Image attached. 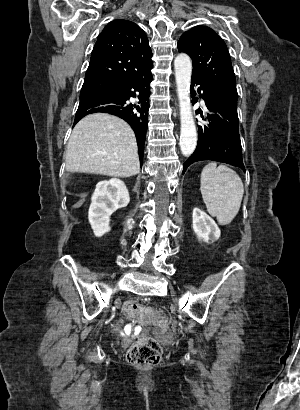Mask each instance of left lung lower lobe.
I'll use <instances>...</instances> for the list:
<instances>
[{"instance_id":"0a47b994","label":"left lung lower lobe","mask_w":300,"mask_h":410,"mask_svg":"<svg viewBox=\"0 0 300 410\" xmlns=\"http://www.w3.org/2000/svg\"><path fill=\"white\" fill-rule=\"evenodd\" d=\"M191 83L192 93L194 86L200 85L198 92L202 90L201 97L208 109L203 119L209 124L199 126L197 147L184 163L183 174L189 165L202 160L224 162L245 171L238 129L237 102L196 77H192ZM200 114L203 116V113Z\"/></svg>"}]
</instances>
